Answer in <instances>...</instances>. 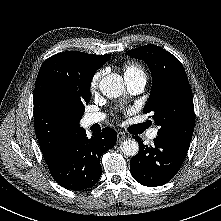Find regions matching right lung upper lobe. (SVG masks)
Listing matches in <instances>:
<instances>
[{
    "label": "right lung upper lobe",
    "instance_id": "obj_1",
    "mask_svg": "<svg viewBox=\"0 0 221 221\" xmlns=\"http://www.w3.org/2000/svg\"><path fill=\"white\" fill-rule=\"evenodd\" d=\"M110 55L58 53L42 64L34 90V125L44 159L51 162L82 128L69 95L74 82L92 79Z\"/></svg>",
    "mask_w": 221,
    "mask_h": 221
}]
</instances>
